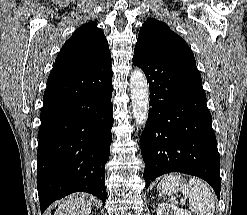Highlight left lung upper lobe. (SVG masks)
<instances>
[{"instance_id":"5c2ea615","label":"left lung upper lobe","mask_w":247,"mask_h":215,"mask_svg":"<svg viewBox=\"0 0 247 215\" xmlns=\"http://www.w3.org/2000/svg\"><path fill=\"white\" fill-rule=\"evenodd\" d=\"M136 46L167 60L196 65L194 54L187 43L167 24L150 18L140 28Z\"/></svg>"}]
</instances>
